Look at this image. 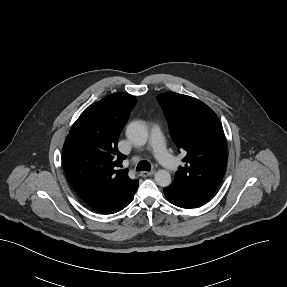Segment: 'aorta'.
<instances>
[{
    "label": "aorta",
    "mask_w": 287,
    "mask_h": 287,
    "mask_svg": "<svg viewBox=\"0 0 287 287\" xmlns=\"http://www.w3.org/2000/svg\"><path fill=\"white\" fill-rule=\"evenodd\" d=\"M127 138L136 146H144L148 140V131L146 126L139 121L131 122L126 129ZM155 182L161 187H167L171 184V175L169 171L160 169L155 173Z\"/></svg>",
    "instance_id": "762f6f07"
}]
</instances>
